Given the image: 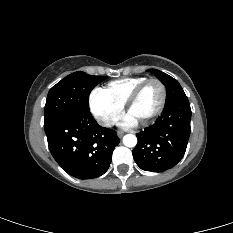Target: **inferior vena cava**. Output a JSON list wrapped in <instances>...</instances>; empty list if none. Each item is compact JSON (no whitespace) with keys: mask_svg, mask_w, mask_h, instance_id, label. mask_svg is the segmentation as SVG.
Listing matches in <instances>:
<instances>
[{"mask_svg":"<svg viewBox=\"0 0 233 233\" xmlns=\"http://www.w3.org/2000/svg\"><path fill=\"white\" fill-rule=\"evenodd\" d=\"M98 121L102 126L105 127H112L115 124V122L110 118H99Z\"/></svg>","mask_w":233,"mask_h":233,"instance_id":"602c4592","label":"inferior vena cava"}]
</instances>
